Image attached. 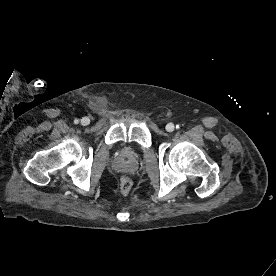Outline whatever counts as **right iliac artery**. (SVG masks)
Listing matches in <instances>:
<instances>
[{
  "mask_svg": "<svg viewBox=\"0 0 276 276\" xmlns=\"http://www.w3.org/2000/svg\"><path fill=\"white\" fill-rule=\"evenodd\" d=\"M74 123H75V124H78V123H79V120H78V119H75V120H74Z\"/></svg>",
  "mask_w": 276,
  "mask_h": 276,
  "instance_id": "right-iliac-artery-1",
  "label": "right iliac artery"
}]
</instances>
